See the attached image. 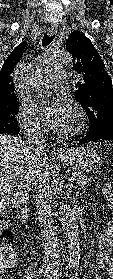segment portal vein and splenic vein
Wrapping results in <instances>:
<instances>
[{
  "instance_id": "1",
  "label": "portal vein and splenic vein",
  "mask_w": 113,
  "mask_h": 279,
  "mask_svg": "<svg viewBox=\"0 0 113 279\" xmlns=\"http://www.w3.org/2000/svg\"><path fill=\"white\" fill-rule=\"evenodd\" d=\"M74 179V178H73ZM17 186L19 187H23V188H28L29 189V185L25 184L23 180L21 179H18L15 183Z\"/></svg>"
}]
</instances>
